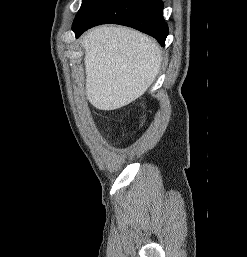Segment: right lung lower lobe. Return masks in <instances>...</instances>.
<instances>
[{"mask_svg":"<svg viewBox=\"0 0 247 257\" xmlns=\"http://www.w3.org/2000/svg\"><path fill=\"white\" fill-rule=\"evenodd\" d=\"M161 0H95L86 14L73 24L78 38L87 29L106 23L129 26L165 45L168 26L163 20Z\"/></svg>","mask_w":247,"mask_h":257,"instance_id":"right-lung-lower-lobe-1","label":"right lung lower lobe"}]
</instances>
